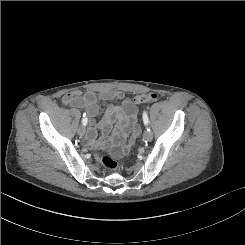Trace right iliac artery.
<instances>
[{"mask_svg": "<svg viewBox=\"0 0 245 245\" xmlns=\"http://www.w3.org/2000/svg\"><path fill=\"white\" fill-rule=\"evenodd\" d=\"M87 123H88V118H87V116H86V113H84V114H83V119H82V124H83L84 126H86Z\"/></svg>", "mask_w": 245, "mask_h": 245, "instance_id": "1", "label": "right iliac artery"}]
</instances>
